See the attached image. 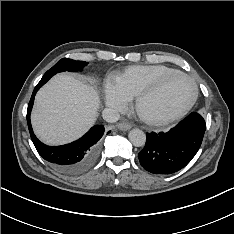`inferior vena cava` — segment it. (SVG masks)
I'll return each instance as SVG.
<instances>
[{"instance_id": "602c4592", "label": "inferior vena cava", "mask_w": 234, "mask_h": 234, "mask_svg": "<svg viewBox=\"0 0 234 234\" xmlns=\"http://www.w3.org/2000/svg\"><path fill=\"white\" fill-rule=\"evenodd\" d=\"M103 119L107 122L114 123L120 119V114L112 108H105L102 112Z\"/></svg>"}]
</instances>
